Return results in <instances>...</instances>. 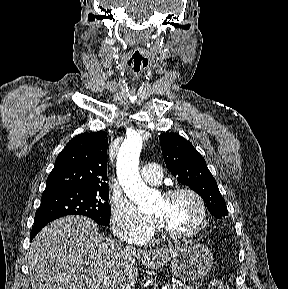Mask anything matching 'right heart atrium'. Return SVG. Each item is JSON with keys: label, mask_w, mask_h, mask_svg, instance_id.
<instances>
[{"label": "right heart atrium", "mask_w": 288, "mask_h": 289, "mask_svg": "<svg viewBox=\"0 0 288 289\" xmlns=\"http://www.w3.org/2000/svg\"><path fill=\"white\" fill-rule=\"evenodd\" d=\"M111 225L116 238L127 244L139 245L151 237L154 224L151 218L142 215L125 197L111 201Z\"/></svg>", "instance_id": "1"}]
</instances>
